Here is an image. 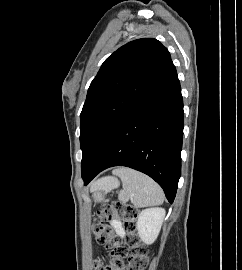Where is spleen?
Segmentation results:
<instances>
[{
    "mask_svg": "<svg viewBox=\"0 0 242 270\" xmlns=\"http://www.w3.org/2000/svg\"><path fill=\"white\" fill-rule=\"evenodd\" d=\"M123 189L118 198L121 201L130 200L136 207L160 205L164 201V193L161 187L147 175L130 168L117 170ZM109 181H106L108 183Z\"/></svg>",
    "mask_w": 242,
    "mask_h": 270,
    "instance_id": "obj_1",
    "label": "spleen"
}]
</instances>
